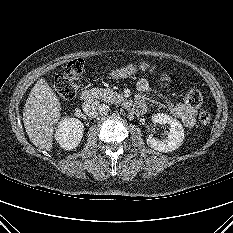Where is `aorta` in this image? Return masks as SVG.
<instances>
[{"label": "aorta", "instance_id": "aorta-1", "mask_svg": "<svg viewBox=\"0 0 233 233\" xmlns=\"http://www.w3.org/2000/svg\"><path fill=\"white\" fill-rule=\"evenodd\" d=\"M102 109H101V114L102 115H106L108 112H109V110H110V108H109V106L108 105H106V104H102Z\"/></svg>", "mask_w": 233, "mask_h": 233}]
</instances>
